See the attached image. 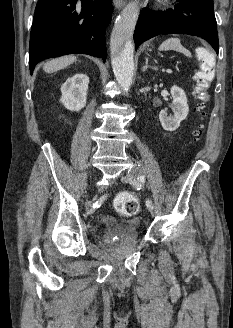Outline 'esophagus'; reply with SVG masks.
<instances>
[{
    "instance_id": "obj_1",
    "label": "esophagus",
    "mask_w": 233,
    "mask_h": 328,
    "mask_svg": "<svg viewBox=\"0 0 233 328\" xmlns=\"http://www.w3.org/2000/svg\"><path fill=\"white\" fill-rule=\"evenodd\" d=\"M113 4L117 9H121L125 5V0H113Z\"/></svg>"
}]
</instances>
